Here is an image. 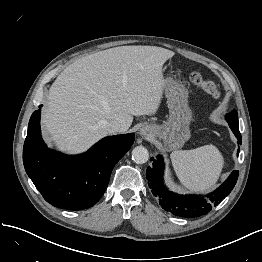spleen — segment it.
I'll return each mask as SVG.
<instances>
[{
  "label": "spleen",
  "instance_id": "1",
  "mask_svg": "<svg viewBox=\"0 0 262 262\" xmlns=\"http://www.w3.org/2000/svg\"><path fill=\"white\" fill-rule=\"evenodd\" d=\"M174 171L189 190L203 192L217 182L223 165V156L214 145L192 150H177L170 155Z\"/></svg>",
  "mask_w": 262,
  "mask_h": 262
}]
</instances>
